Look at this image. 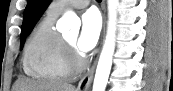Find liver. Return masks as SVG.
I'll return each mask as SVG.
<instances>
[{
	"label": "liver",
	"instance_id": "liver-1",
	"mask_svg": "<svg viewBox=\"0 0 173 91\" xmlns=\"http://www.w3.org/2000/svg\"><path fill=\"white\" fill-rule=\"evenodd\" d=\"M13 91H76L71 84L59 81H39L19 78Z\"/></svg>",
	"mask_w": 173,
	"mask_h": 91
}]
</instances>
